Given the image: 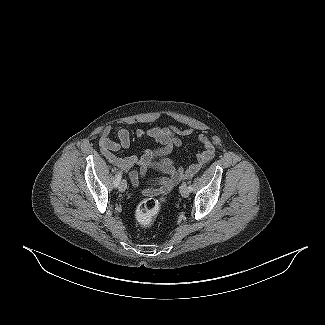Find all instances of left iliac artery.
Here are the masks:
<instances>
[{
  "label": "left iliac artery",
  "mask_w": 325,
  "mask_h": 325,
  "mask_svg": "<svg viewBox=\"0 0 325 325\" xmlns=\"http://www.w3.org/2000/svg\"><path fill=\"white\" fill-rule=\"evenodd\" d=\"M188 189H189V191L191 192V191L193 190L192 185H189Z\"/></svg>",
  "instance_id": "1"
}]
</instances>
